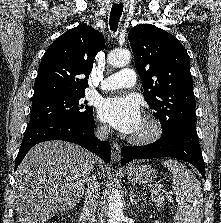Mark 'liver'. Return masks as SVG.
Instances as JSON below:
<instances>
[{"label": "liver", "mask_w": 221, "mask_h": 223, "mask_svg": "<svg viewBox=\"0 0 221 223\" xmlns=\"http://www.w3.org/2000/svg\"><path fill=\"white\" fill-rule=\"evenodd\" d=\"M102 162L80 146L48 141L34 146L15 174L18 223H45L81 200L87 178Z\"/></svg>", "instance_id": "1"}]
</instances>
